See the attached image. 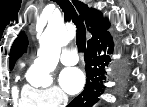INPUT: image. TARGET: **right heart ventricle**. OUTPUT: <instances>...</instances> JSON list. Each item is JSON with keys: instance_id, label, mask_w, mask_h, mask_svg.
I'll use <instances>...</instances> for the list:
<instances>
[{"instance_id": "obj_1", "label": "right heart ventricle", "mask_w": 147, "mask_h": 107, "mask_svg": "<svg viewBox=\"0 0 147 107\" xmlns=\"http://www.w3.org/2000/svg\"><path fill=\"white\" fill-rule=\"evenodd\" d=\"M16 90H14V96L16 97ZM17 103L20 105V106H23V107H32V106H35V104L32 103L31 100L29 99H26L24 98L23 96H21V99L17 101Z\"/></svg>"}]
</instances>
